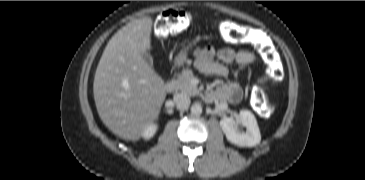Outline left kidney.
<instances>
[{"label":"left kidney","mask_w":365,"mask_h":180,"mask_svg":"<svg viewBox=\"0 0 365 180\" xmlns=\"http://www.w3.org/2000/svg\"><path fill=\"white\" fill-rule=\"evenodd\" d=\"M246 127V131L239 129V126ZM220 126L231 143L252 147L260 143L261 135L255 116L248 110H241L237 118L225 117L220 120Z\"/></svg>","instance_id":"obj_1"}]
</instances>
